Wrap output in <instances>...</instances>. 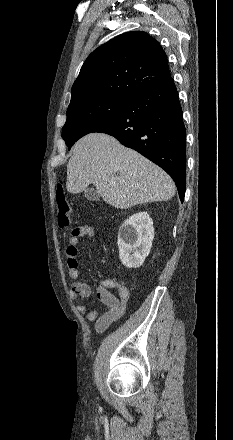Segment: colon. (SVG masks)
<instances>
[{"label": "colon", "instance_id": "colon-1", "mask_svg": "<svg viewBox=\"0 0 233 440\" xmlns=\"http://www.w3.org/2000/svg\"><path fill=\"white\" fill-rule=\"evenodd\" d=\"M55 199L58 226L62 229L68 228L70 226V207L63 182L58 183L56 186Z\"/></svg>", "mask_w": 233, "mask_h": 440}]
</instances>
